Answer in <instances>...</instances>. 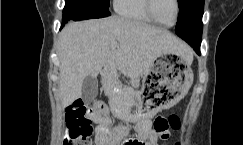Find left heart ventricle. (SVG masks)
Here are the masks:
<instances>
[{
  "label": "left heart ventricle",
  "instance_id": "obj_1",
  "mask_svg": "<svg viewBox=\"0 0 243 145\" xmlns=\"http://www.w3.org/2000/svg\"><path fill=\"white\" fill-rule=\"evenodd\" d=\"M154 13L163 24H171L175 17L174 0H154Z\"/></svg>",
  "mask_w": 243,
  "mask_h": 145
}]
</instances>
